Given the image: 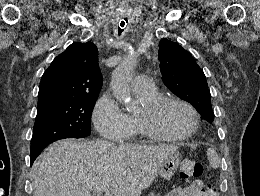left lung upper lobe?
I'll list each match as a JSON object with an SVG mask.
<instances>
[{
  "mask_svg": "<svg viewBox=\"0 0 260 196\" xmlns=\"http://www.w3.org/2000/svg\"><path fill=\"white\" fill-rule=\"evenodd\" d=\"M159 59L163 82L176 96L191 103L203 119L213 122L206 77L191 54L179 44L162 39Z\"/></svg>",
  "mask_w": 260,
  "mask_h": 196,
  "instance_id": "1",
  "label": "left lung upper lobe"
}]
</instances>
